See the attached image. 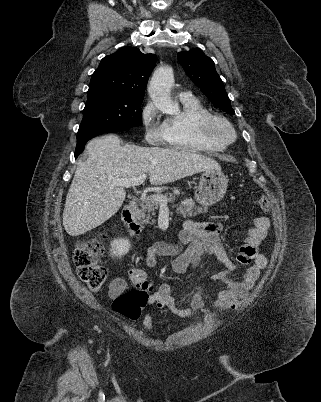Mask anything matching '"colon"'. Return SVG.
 <instances>
[{
    "mask_svg": "<svg viewBox=\"0 0 321 402\" xmlns=\"http://www.w3.org/2000/svg\"><path fill=\"white\" fill-rule=\"evenodd\" d=\"M258 205L264 212L270 210V201L267 197H260ZM106 239L107 236L101 234L96 239L79 241L73 253V261L79 278L93 291L101 289L108 277L107 269L98 261ZM148 300L149 295L146 290L132 289L114 299L113 310L128 320L136 321L140 318Z\"/></svg>",
    "mask_w": 321,
    "mask_h": 402,
    "instance_id": "colon-1",
    "label": "colon"
}]
</instances>
